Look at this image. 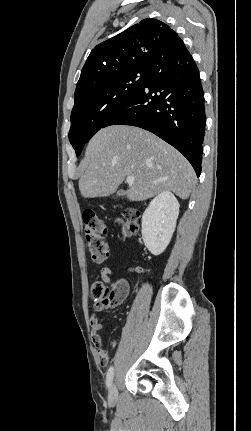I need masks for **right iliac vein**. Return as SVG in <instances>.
<instances>
[{
	"instance_id": "obj_1",
	"label": "right iliac vein",
	"mask_w": 251,
	"mask_h": 431,
	"mask_svg": "<svg viewBox=\"0 0 251 431\" xmlns=\"http://www.w3.org/2000/svg\"><path fill=\"white\" fill-rule=\"evenodd\" d=\"M108 397L111 402H115L117 400V389L115 384L111 385Z\"/></svg>"
}]
</instances>
